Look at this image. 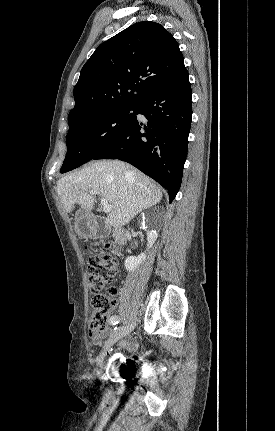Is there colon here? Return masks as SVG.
Masks as SVG:
<instances>
[{
  "mask_svg": "<svg viewBox=\"0 0 275 431\" xmlns=\"http://www.w3.org/2000/svg\"><path fill=\"white\" fill-rule=\"evenodd\" d=\"M106 247L109 244H105ZM118 269L116 258L105 252L92 253L88 262V281L93 297L91 305L93 312L90 320V332L100 333L108 327L109 315L114 308L112 298L117 293L116 288L108 289V295L101 293Z\"/></svg>",
  "mask_w": 275,
  "mask_h": 431,
  "instance_id": "5ec220e1",
  "label": "colon"
}]
</instances>
